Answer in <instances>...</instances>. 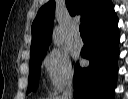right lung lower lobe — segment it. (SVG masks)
Masks as SVG:
<instances>
[{"mask_svg": "<svg viewBox=\"0 0 128 99\" xmlns=\"http://www.w3.org/2000/svg\"><path fill=\"white\" fill-rule=\"evenodd\" d=\"M87 29L90 40L81 57L89 60V66L76 65L74 99H114L120 36L113 5Z\"/></svg>", "mask_w": 128, "mask_h": 99, "instance_id": "right-lung-lower-lobe-1", "label": "right lung lower lobe"}]
</instances>
